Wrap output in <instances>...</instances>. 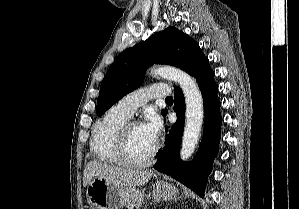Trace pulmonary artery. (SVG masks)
I'll return each instance as SVG.
<instances>
[{
	"mask_svg": "<svg viewBox=\"0 0 299 209\" xmlns=\"http://www.w3.org/2000/svg\"><path fill=\"white\" fill-rule=\"evenodd\" d=\"M170 87L164 83H154L150 86L134 90L122 97L116 104V108L126 115L132 117L136 109L156 97H168Z\"/></svg>",
	"mask_w": 299,
	"mask_h": 209,
	"instance_id": "1",
	"label": "pulmonary artery"
}]
</instances>
